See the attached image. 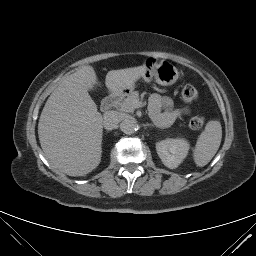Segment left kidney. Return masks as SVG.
Listing matches in <instances>:
<instances>
[{"label":"left kidney","mask_w":256,"mask_h":256,"mask_svg":"<svg viewBox=\"0 0 256 256\" xmlns=\"http://www.w3.org/2000/svg\"><path fill=\"white\" fill-rule=\"evenodd\" d=\"M189 143L184 139H166L156 144V151L163 164L176 168L187 156Z\"/></svg>","instance_id":"obj_1"}]
</instances>
